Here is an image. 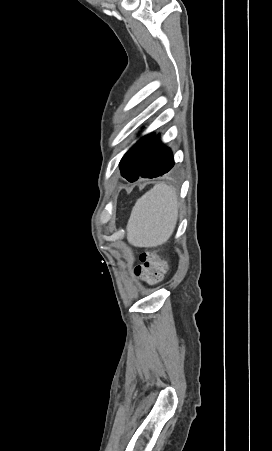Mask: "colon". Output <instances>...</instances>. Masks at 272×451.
I'll return each instance as SVG.
<instances>
[{"label": "colon", "instance_id": "obj_1", "mask_svg": "<svg viewBox=\"0 0 272 451\" xmlns=\"http://www.w3.org/2000/svg\"><path fill=\"white\" fill-rule=\"evenodd\" d=\"M141 264L137 265L133 272L134 275L147 283L154 284L162 280L169 271V265L165 260L150 252L140 254Z\"/></svg>", "mask_w": 272, "mask_h": 451}]
</instances>
